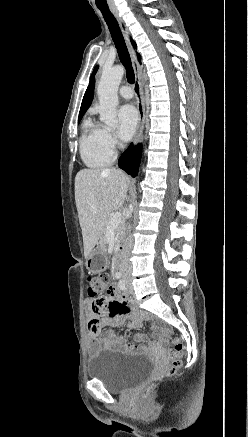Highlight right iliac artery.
<instances>
[{
  "mask_svg": "<svg viewBox=\"0 0 248 437\" xmlns=\"http://www.w3.org/2000/svg\"><path fill=\"white\" fill-rule=\"evenodd\" d=\"M115 277H116L117 279H119V278L121 277V273H120V272H117L116 275H115Z\"/></svg>",
  "mask_w": 248,
  "mask_h": 437,
  "instance_id": "1",
  "label": "right iliac artery"
}]
</instances>
